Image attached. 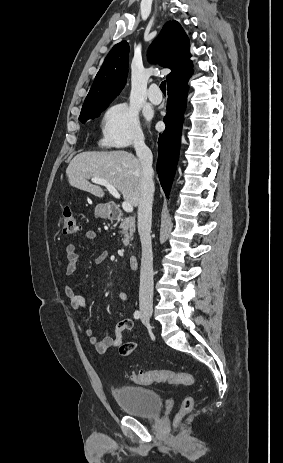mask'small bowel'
<instances>
[{
  "label": "small bowel",
  "instance_id": "small-bowel-1",
  "mask_svg": "<svg viewBox=\"0 0 283 463\" xmlns=\"http://www.w3.org/2000/svg\"><path fill=\"white\" fill-rule=\"evenodd\" d=\"M86 238L90 241L96 239V233L94 231H87ZM65 256L67 260V266L65 269V276L71 278L74 276L79 256L77 253V248L75 244H68L65 248ZM107 252L99 253L95 259V264H101L107 259ZM64 292L69 299L71 308L75 311H80L85 308L86 302L85 299L76 294L72 285L67 284L64 288ZM117 298L124 304L129 302L128 294L124 291L117 293ZM135 328L134 322L131 319L121 320L115 327L114 336H107L104 338H99L91 329L87 328L85 333L89 339V342L95 347L96 351L99 354H105L109 351L119 348L120 353L124 356L131 355L137 346L135 338H132L126 342L123 340V333L125 331H133ZM125 348V352H122V349Z\"/></svg>",
  "mask_w": 283,
  "mask_h": 463
}]
</instances>
